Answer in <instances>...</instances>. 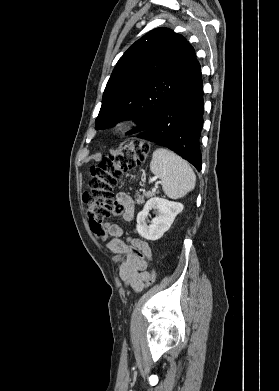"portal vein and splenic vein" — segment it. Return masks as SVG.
Listing matches in <instances>:
<instances>
[{
	"label": "portal vein and splenic vein",
	"instance_id": "portal-vein-and-splenic-vein-1",
	"mask_svg": "<svg viewBox=\"0 0 279 391\" xmlns=\"http://www.w3.org/2000/svg\"><path fill=\"white\" fill-rule=\"evenodd\" d=\"M157 188H158V183L155 184V187L153 188V191H156Z\"/></svg>",
	"mask_w": 279,
	"mask_h": 391
}]
</instances>
